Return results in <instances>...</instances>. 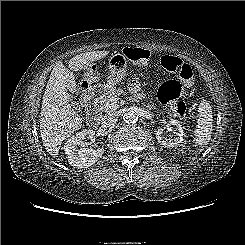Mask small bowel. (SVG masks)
Returning a JSON list of instances; mask_svg holds the SVG:
<instances>
[{
	"instance_id": "c3829d8e",
	"label": "small bowel",
	"mask_w": 245,
	"mask_h": 245,
	"mask_svg": "<svg viewBox=\"0 0 245 245\" xmlns=\"http://www.w3.org/2000/svg\"><path fill=\"white\" fill-rule=\"evenodd\" d=\"M129 90L136 94L138 99H142L143 94L140 93V84L136 80H131L129 82Z\"/></svg>"
}]
</instances>
